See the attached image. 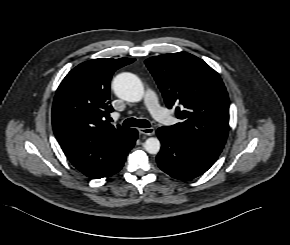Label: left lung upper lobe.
Listing matches in <instances>:
<instances>
[{
  "label": "left lung upper lobe",
  "instance_id": "1",
  "mask_svg": "<svg viewBox=\"0 0 290 245\" xmlns=\"http://www.w3.org/2000/svg\"><path fill=\"white\" fill-rule=\"evenodd\" d=\"M168 108L181 120L166 127L177 137L220 153L229 130V98L219 76L200 58L164 54L145 61Z\"/></svg>",
  "mask_w": 290,
  "mask_h": 245
}]
</instances>
